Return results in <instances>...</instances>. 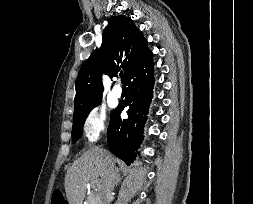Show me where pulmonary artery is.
<instances>
[{
    "label": "pulmonary artery",
    "instance_id": "e3ab8cb5",
    "mask_svg": "<svg viewBox=\"0 0 253 204\" xmlns=\"http://www.w3.org/2000/svg\"><path fill=\"white\" fill-rule=\"evenodd\" d=\"M122 94V89L119 85H115V87L112 90V95L115 98H119Z\"/></svg>",
    "mask_w": 253,
    "mask_h": 204
}]
</instances>
